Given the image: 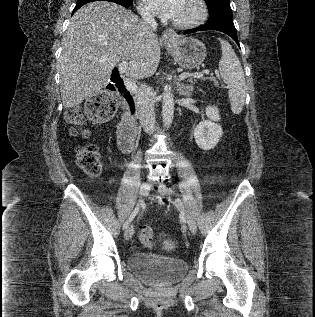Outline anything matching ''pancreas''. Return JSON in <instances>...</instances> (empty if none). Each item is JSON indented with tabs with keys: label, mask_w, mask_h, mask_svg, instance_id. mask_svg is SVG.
Instances as JSON below:
<instances>
[{
	"label": "pancreas",
	"mask_w": 315,
	"mask_h": 317,
	"mask_svg": "<svg viewBox=\"0 0 315 317\" xmlns=\"http://www.w3.org/2000/svg\"><path fill=\"white\" fill-rule=\"evenodd\" d=\"M202 79L205 80V78H202ZM207 79L213 81L216 86L218 85V82H217L215 77L212 76V77H208ZM188 81L191 84L194 82V80L192 78H190ZM188 86L192 89L191 85H188Z\"/></svg>",
	"instance_id": "pancreas-1"
}]
</instances>
